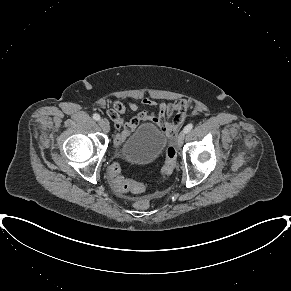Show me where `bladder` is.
Segmentation results:
<instances>
[{"label":"bladder","instance_id":"31cf9c89","mask_svg":"<svg viewBox=\"0 0 291 291\" xmlns=\"http://www.w3.org/2000/svg\"><path fill=\"white\" fill-rule=\"evenodd\" d=\"M167 144L163 131L153 124L144 123L118 147L117 154L130 164L145 165L157 160Z\"/></svg>","mask_w":291,"mask_h":291}]
</instances>
